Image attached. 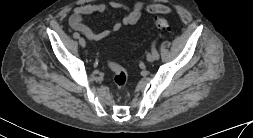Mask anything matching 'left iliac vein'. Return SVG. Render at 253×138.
I'll list each match as a JSON object with an SVG mask.
<instances>
[{
  "mask_svg": "<svg viewBox=\"0 0 253 138\" xmlns=\"http://www.w3.org/2000/svg\"><path fill=\"white\" fill-rule=\"evenodd\" d=\"M155 53L154 51L152 50L150 53L147 54V61L148 62H153L155 60Z\"/></svg>",
  "mask_w": 253,
  "mask_h": 138,
  "instance_id": "4c4485c4",
  "label": "left iliac vein"
}]
</instances>
